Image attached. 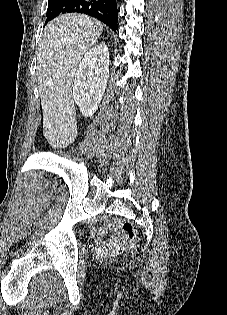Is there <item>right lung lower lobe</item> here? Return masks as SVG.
<instances>
[{"label":"right lung lower lobe","instance_id":"right-lung-lower-lobe-1","mask_svg":"<svg viewBox=\"0 0 227 315\" xmlns=\"http://www.w3.org/2000/svg\"><path fill=\"white\" fill-rule=\"evenodd\" d=\"M73 12L95 17L115 32L118 28L116 0H49L46 23L61 14Z\"/></svg>","mask_w":227,"mask_h":315}]
</instances>
